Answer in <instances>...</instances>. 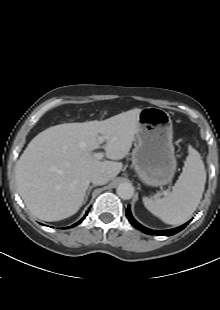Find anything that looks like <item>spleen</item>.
Returning <instances> with one entry per match:
<instances>
[{
  "label": "spleen",
  "mask_w": 220,
  "mask_h": 310,
  "mask_svg": "<svg viewBox=\"0 0 220 310\" xmlns=\"http://www.w3.org/2000/svg\"><path fill=\"white\" fill-rule=\"evenodd\" d=\"M183 171L172 192L158 199L143 198L144 206L163 222L178 225L186 222L198 207L206 182V171L200 154L191 146Z\"/></svg>",
  "instance_id": "3e777b00"
}]
</instances>
